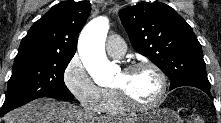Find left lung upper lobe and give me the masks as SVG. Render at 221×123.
<instances>
[{"mask_svg":"<svg viewBox=\"0 0 221 123\" xmlns=\"http://www.w3.org/2000/svg\"><path fill=\"white\" fill-rule=\"evenodd\" d=\"M133 48L179 86L210 89L201 44L186 21L161 2H142L120 10Z\"/></svg>","mask_w":221,"mask_h":123,"instance_id":"obj_1","label":"left lung upper lobe"}]
</instances>
